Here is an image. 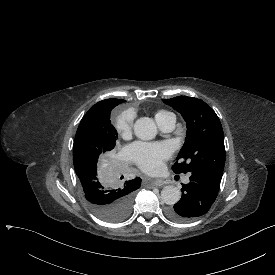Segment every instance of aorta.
I'll list each match as a JSON object with an SVG mask.
<instances>
[{"instance_id":"1","label":"aorta","mask_w":275,"mask_h":275,"mask_svg":"<svg viewBox=\"0 0 275 275\" xmlns=\"http://www.w3.org/2000/svg\"><path fill=\"white\" fill-rule=\"evenodd\" d=\"M134 133L141 140H152L157 135V126L149 117H141L134 124ZM161 198L165 204L173 205L181 198L180 190L172 185L165 186L161 191Z\"/></svg>"}]
</instances>
